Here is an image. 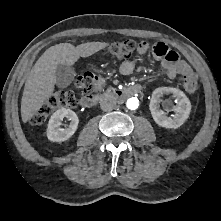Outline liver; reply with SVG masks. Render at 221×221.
I'll return each mask as SVG.
<instances>
[{
	"instance_id": "liver-1",
	"label": "liver",
	"mask_w": 221,
	"mask_h": 221,
	"mask_svg": "<svg viewBox=\"0 0 221 221\" xmlns=\"http://www.w3.org/2000/svg\"><path fill=\"white\" fill-rule=\"evenodd\" d=\"M106 42H87L78 46L60 43L48 48L36 61L26 80L21 100V118L29 121L53 94L58 64L71 66L80 57H88L104 49Z\"/></svg>"
}]
</instances>
